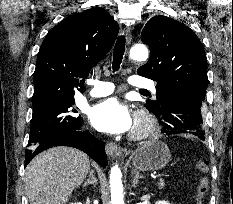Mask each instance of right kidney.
I'll return each instance as SVG.
<instances>
[{"instance_id":"right-kidney-1","label":"right kidney","mask_w":233,"mask_h":204,"mask_svg":"<svg viewBox=\"0 0 233 204\" xmlns=\"http://www.w3.org/2000/svg\"><path fill=\"white\" fill-rule=\"evenodd\" d=\"M70 204H80V203H76V202H75V203H70Z\"/></svg>"}]
</instances>
